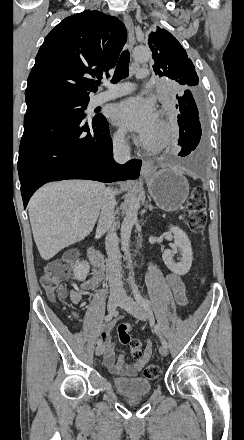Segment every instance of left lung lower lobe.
<instances>
[{
    "instance_id": "left-lung-lower-lobe-1",
    "label": "left lung lower lobe",
    "mask_w": 244,
    "mask_h": 440,
    "mask_svg": "<svg viewBox=\"0 0 244 440\" xmlns=\"http://www.w3.org/2000/svg\"><path fill=\"white\" fill-rule=\"evenodd\" d=\"M176 99L180 133L178 145L182 147L178 155L184 157L190 154L200 142L202 133L199 121L200 101L195 90H185L180 95H176Z\"/></svg>"
}]
</instances>
